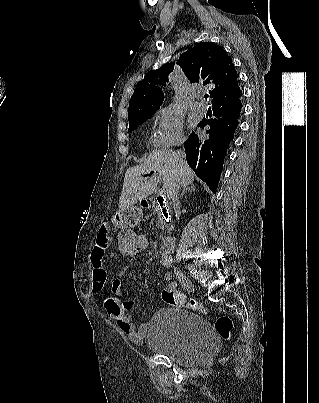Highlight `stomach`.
I'll use <instances>...</instances> for the list:
<instances>
[{"label": "stomach", "mask_w": 319, "mask_h": 403, "mask_svg": "<svg viewBox=\"0 0 319 403\" xmlns=\"http://www.w3.org/2000/svg\"><path fill=\"white\" fill-rule=\"evenodd\" d=\"M141 215V211L134 207L125 210H112L113 228H120L122 233L124 229H129L130 226H138L142 222Z\"/></svg>", "instance_id": "1"}]
</instances>
